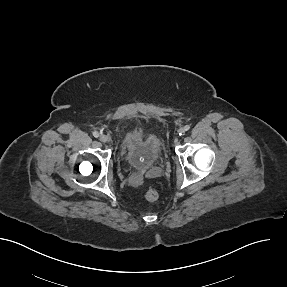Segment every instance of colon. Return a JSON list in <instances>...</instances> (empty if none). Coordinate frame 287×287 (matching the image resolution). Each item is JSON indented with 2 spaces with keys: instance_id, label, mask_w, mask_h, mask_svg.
<instances>
[{
  "instance_id": "1",
  "label": "colon",
  "mask_w": 287,
  "mask_h": 287,
  "mask_svg": "<svg viewBox=\"0 0 287 287\" xmlns=\"http://www.w3.org/2000/svg\"><path fill=\"white\" fill-rule=\"evenodd\" d=\"M158 192L153 188H148L144 192V197L147 201L153 202L158 199Z\"/></svg>"
}]
</instances>
